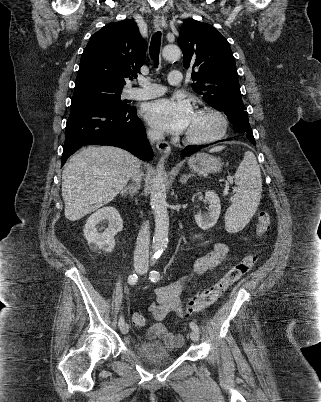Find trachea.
<instances>
[{
    "mask_svg": "<svg viewBox=\"0 0 321 402\" xmlns=\"http://www.w3.org/2000/svg\"><path fill=\"white\" fill-rule=\"evenodd\" d=\"M160 46H161V32L157 31L152 36L149 49L150 56L153 59L156 67H158L159 63Z\"/></svg>",
    "mask_w": 321,
    "mask_h": 402,
    "instance_id": "trachea-1",
    "label": "trachea"
}]
</instances>
